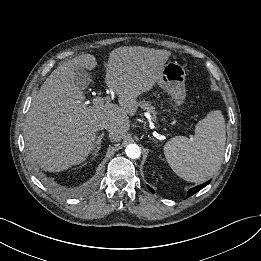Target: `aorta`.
Masks as SVG:
<instances>
[{"label":"aorta","mask_w":261,"mask_h":261,"mask_svg":"<svg viewBox=\"0 0 261 261\" xmlns=\"http://www.w3.org/2000/svg\"><path fill=\"white\" fill-rule=\"evenodd\" d=\"M125 153L130 159H138L141 155V149L137 144H128Z\"/></svg>","instance_id":"obj_1"}]
</instances>
